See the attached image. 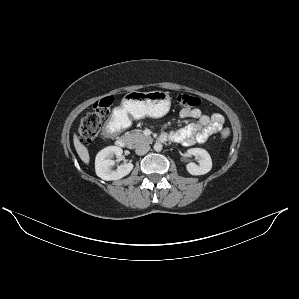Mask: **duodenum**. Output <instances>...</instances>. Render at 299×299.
<instances>
[{
  "mask_svg": "<svg viewBox=\"0 0 299 299\" xmlns=\"http://www.w3.org/2000/svg\"><path fill=\"white\" fill-rule=\"evenodd\" d=\"M117 129H118V124L114 119H112L106 124V126L104 128V135L106 137H113L115 135V133L117 132ZM158 141L166 142V141H168V136L165 134H161L158 137ZM116 144H117V146L124 148L128 145V139L126 137H122V136L118 137L116 139Z\"/></svg>",
  "mask_w": 299,
  "mask_h": 299,
  "instance_id": "1",
  "label": "duodenum"
}]
</instances>
